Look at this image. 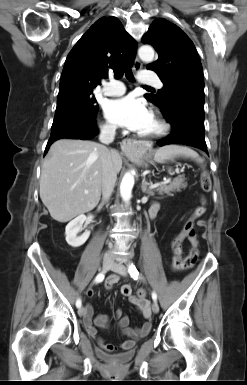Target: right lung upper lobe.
Segmentation results:
<instances>
[{
    "label": "right lung upper lobe",
    "instance_id": "cb5924a9",
    "mask_svg": "<svg viewBox=\"0 0 247 385\" xmlns=\"http://www.w3.org/2000/svg\"><path fill=\"white\" fill-rule=\"evenodd\" d=\"M137 50L136 41L116 17L96 21L79 39L67 56L59 92L93 90L122 64L131 65Z\"/></svg>",
    "mask_w": 247,
    "mask_h": 385
}]
</instances>
